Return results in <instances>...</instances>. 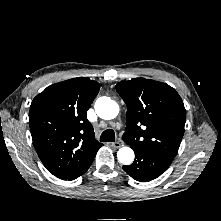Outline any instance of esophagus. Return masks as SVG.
<instances>
[{
	"label": "esophagus",
	"mask_w": 221,
	"mask_h": 221,
	"mask_svg": "<svg viewBox=\"0 0 221 221\" xmlns=\"http://www.w3.org/2000/svg\"><path fill=\"white\" fill-rule=\"evenodd\" d=\"M108 145H109L110 147H114L115 149H118V148H120V147L123 146V144H122L121 142H119V141H117V142H112V143H108Z\"/></svg>",
	"instance_id": "obj_1"
}]
</instances>
